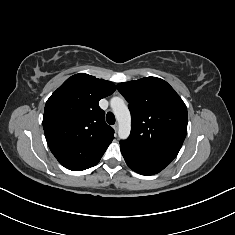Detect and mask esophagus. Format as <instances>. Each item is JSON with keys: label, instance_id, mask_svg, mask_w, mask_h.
<instances>
[{"label": "esophagus", "instance_id": "1", "mask_svg": "<svg viewBox=\"0 0 235 235\" xmlns=\"http://www.w3.org/2000/svg\"><path fill=\"white\" fill-rule=\"evenodd\" d=\"M114 130L117 131L118 128H119V125L116 123L114 126H113Z\"/></svg>", "mask_w": 235, "mask_h": 235}]
</instances>
